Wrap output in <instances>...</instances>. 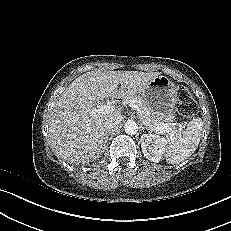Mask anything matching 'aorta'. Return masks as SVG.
<instances>
[{
  "label": "aorta",
  "instance_id": "obj_1",
  "mask_svg": "<svg viewBox=\"0 0 231 231\" xmlns=\"http://www.w3.org/2000/svg\"><path fill=\"white\" fill-rule=\"evenodd\" d=\"M138 129V124L133 120H128L124 125V130L128 135L136 134Z\"/></svg>",
  "mask_w": 231,
  "mask_h": 231
}]
</instances>
